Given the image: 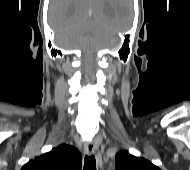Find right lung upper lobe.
<instances>
[{"mask_svg":"<svg viewBox=\"0 0 190 170\" xmlns=\"http://www.w3.org/2000/svg\"><path fill=\"white\" fill-rule=\"evenodd\" d=\"M82 155L73 146L62 144L26 163L21 170H81Z\"/></svg>","mask_w":190,"mask_h":170,"instance_id":"right-lung-upper-lobe-1","label":"right lung upper lobe"}]
</instances>
